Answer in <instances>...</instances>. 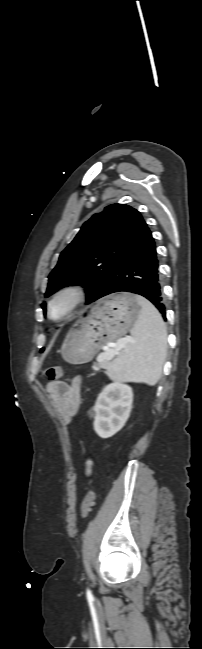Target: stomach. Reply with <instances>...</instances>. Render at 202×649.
Returning <instances> with one entry per match:
<instances>
[{
	"label": "stomach",
	"instance_id": "0dacf381",
	"mask_svg": "<svg viewBox=\"0 0 202 649\" xmlns=\"http://www.w3.org/2000/svg\"><path fill=\"white\" fill-rule=\"evenodd\" d=\"M140 311L136 295L130 293L102 299L68 332L60 351L62 358L71 364L92 360L101 347L127 333Z\"/></svg>",
	"mask_w": 202,
	"mask_h": 649
}]
</instances>
